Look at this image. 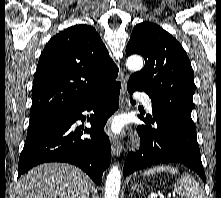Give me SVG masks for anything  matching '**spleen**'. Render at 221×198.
Instances as JSON below:
<instances>
[{"instance_id": "1", "label": "spleen", "mask_w": 221, "mask_h": 198, "mask_svg": "<svg viewBox=\"0 0 221 198\" xmlns=\"http://www.w3.org/2000/svg\"><path fill=\"white\" fill-rule=\"evenodd\" d=\"M163 171H169L172 175L179 173L177 168L162 165L145 170L142 175H153ZM174 189L182 198H204V194L199 183L189 174H184L179 177Z\"/></svg>"}]
</instances>
